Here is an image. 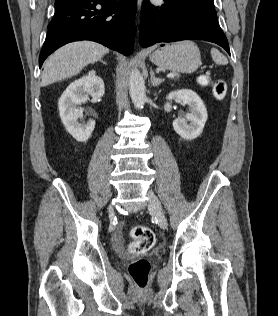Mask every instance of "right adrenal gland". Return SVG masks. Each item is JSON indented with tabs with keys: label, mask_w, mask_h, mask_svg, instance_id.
<instances>
[{
	"label": "right adrenal gland",
	"mask_w": 278,
	"mask_h": 316,
	"mask_svg": "<svg viewBox=\"0 0 278 316\" xmlns=\"http://www.w3.org/2000/svg\"><path fill=\"white\" fill-rule=\"evenodd\" d=\"M101 63H103L104 65H107V63L103 60H100Z\"/></svg>",
	"instance_id": "right-adrenal-gland-1"
}]
</instances>
